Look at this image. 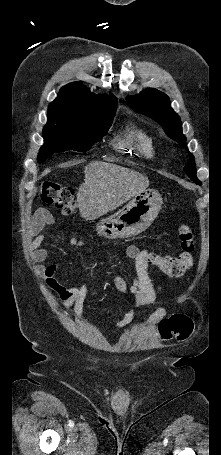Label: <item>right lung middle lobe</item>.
I'll list each match as a JSON object with an SVG mask.
<instances>
[{
    "instance_id": "1",
    "label": "right lung middle lobe",
    "mask_w": 221,
    "mask_h": 455,
    "mask_svg": "<svg viewBox=\"0 0 221 455\" xmlns=\"http://www.w3.org/2000/svg\"><path fill=\"white\" fill-rule=\"evenodd\" d=\"M115 111L116 109H110L84 120L48 116L43 129L45 144L39 151L38 162H44L52 154L67 150L88 151L96 141L106 135Z\"/></svg>"
}]
</instances>
